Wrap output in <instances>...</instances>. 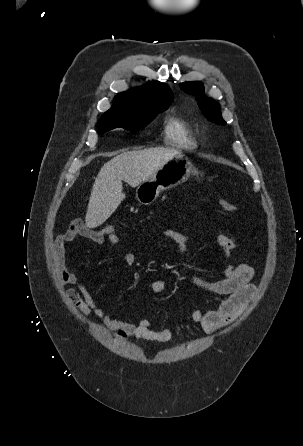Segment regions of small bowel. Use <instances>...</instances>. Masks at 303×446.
<instances>
[{
  "instance_id": "c3829d8e",
  "label": "small bowel",
  "mask_w": 303,
  "mask_h": 446,
  "mask_svg": "<svg viewBox=\"0 0 303 446\" xmlns=\"http://www.w3.org/2000/svg\"><path fill=\"white\" fill-rule=\"evenodd\" d=\"M162 235L175 244L178 253L182 255L186 253L190 242L187 234L168 228L162 232ZM77 236L89 238L98 245L108 242L116 247L120 246V239L117 235L104 236L101 230L89 229L81 220H74L53 240L54 261L61 283L72 286L66 290V295L79 312L82 315L93 314L100 318L116 332V337L121 340L133 337L141 341L168 342L172 337L169 328L153 326L149 317H143L137 323H131L110 316L94 300L87 287L66 264V247ZM216 241L226 262L222 278L211 281L198 274H192L191 280L196 286L220 297L221 301L214 309L196 310L181 320L185 324H199L206 333H214L232 323L244 311L255 293V286L251 282L253 269L247 264L235 265L230 262L239 246L238 241L224 231L217 233ZM122 258L127 266L136 265V258L130 251L123 250ZM167 287L168 282L162 279L150 284L153 294H160Z\"/></svg>"
}]
</instances>
